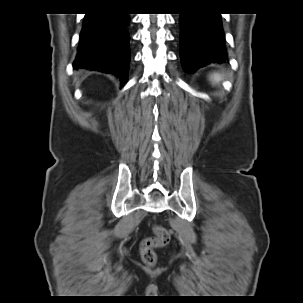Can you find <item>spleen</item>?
Segmentation results:
<instances>
[{
    "label": "spleen",
    "instance_id": "spleen-1",
    "mask_svg": "<svg viewBox=\"0 0 303 303\" xmlns=\"http://www.w3.org/2000/svg\"><path fill=\"white\" fill-rule=\"evenodd\" d=\"M223 79L220 73H213L210 75V80L213 84L219 83Z\"/></svg>",
    "mask_w": 303,
    "mask_h": 303
}]
</instances>
